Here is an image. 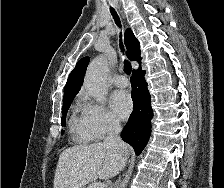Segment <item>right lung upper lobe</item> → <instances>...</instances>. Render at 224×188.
I'll use <instances>...</instances> for the list:
<instances>
[{
	"label": "right lung upper lobe",
	"instance_id": "cb5924a9",
	"mask_svg": "<svg viewBox=\"0 0 224 188\" xmlns=\"http://www.w3.org/2000/svg\"><path fill=\"white\" fill-rule=\"evenodd\" d=\"M124 40L128 50L129 59L137 61L141 65L140 45L131 29L128 28L126 30ZM88 63L89 57H84L77 62L65 85L63 101L75 96L79 92Z\"/></svg>",
	"mask_w": 224,
	"mask_h": 188
}]
</instances>
